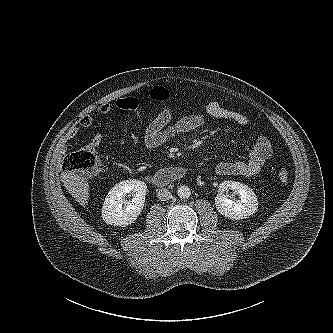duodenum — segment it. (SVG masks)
<instances>
[{"label":"duodenum","instance_id":"obj_1","mask_svg":"<svg viewBox=\"0 0 333 333\" xmlns=\"http://www.w3.org/2000/svg\"><path fill=\"white\" fill-rule=\"evenodd\" d=\"M186 175V168L180 166H170L160 169L155 174L148 177V180L158 187H164L174 181L184 178Z\"/></svg>","mask_w":333,"mask_h":333}]
</instances>
